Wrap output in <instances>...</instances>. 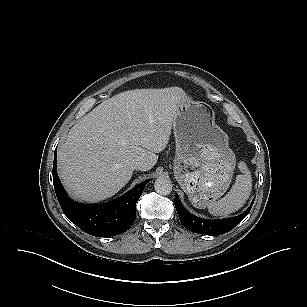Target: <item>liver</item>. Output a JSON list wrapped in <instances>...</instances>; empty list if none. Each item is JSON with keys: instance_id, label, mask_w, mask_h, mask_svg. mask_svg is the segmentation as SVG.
<instances>
[{"instance_id": "6515ba94", "label": "liver", "mask_w": 307, "mask_h": 307, "mask_svg": "<svg viewBox=\"0 0 307 307\" xmlns=\"http://www.w3.org/2000/svg\"><path fill=\"white\" fill-rule=\"evenodd\" d=\"M179 87L135 89L103 101L68 132L57 152L59 177L75 199L99 202L131 179L129 164L142 161L150 170L156 153L169 141L179 101Z\"/></svg>"}]
</instances>
